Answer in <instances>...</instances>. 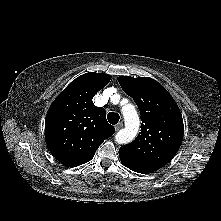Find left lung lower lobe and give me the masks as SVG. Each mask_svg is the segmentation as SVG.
<instances>
[{
  "instance_id": "left-lung-lower-lobe-1",
  "label": "left lung lower lobe",
  "mask_w": 221,
  "mask_h": 221,
  "mask_svg": "<svg viewBox=\"0 0 221 221\" xmlns=\"http://www.w3.org/2000/svg\"><path fill=\"white\" fill-rule=\"evenodd\" d=\"M120 159H121L122 164H124L127 168H129L135 172L142 173V174H148V173L153 172L151 170L141 168V167L125 160V159H122V158H120Z\"/></svg>"
}]
</instances>
